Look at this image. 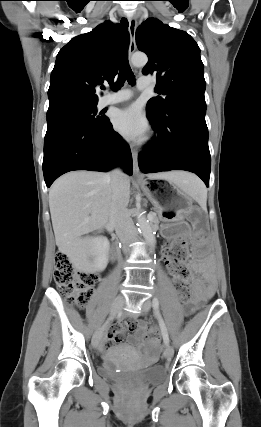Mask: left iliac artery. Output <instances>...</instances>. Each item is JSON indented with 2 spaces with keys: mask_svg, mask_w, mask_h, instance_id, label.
<instances>
[{
  "mask_svg": "<svg viewBox=\"0 0 261 427\" xmlns=\"http://www.w3.org/2000/svg\"><path fill=\"white\" fill-rule=\"evenodd\" d=\"M152 306H153L155 315H156V317H157V319L159 321V325H160V328H161V332H162L164 343L166 345H168L169 344V336H168V332H167V328H166L165 322H164V320H163V318H162V316H161V314L159 312V300L156 297L153 298Z\"/></svg>",
  "mask_w": 261,
  "mask_h": 427,
  "instance_id": "left-iliac-artery-1",
  "label": "left iliac artery"
}]
</instances>
